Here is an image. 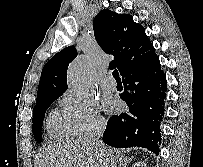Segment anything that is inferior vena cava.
Segmentation results:
<instances>
[{"label": "inferior vena cava", "instance_id": "602c4592", "mask_svg": "<svg viewBox=\"0 0 203 167\" xmlns=\"http://www.w3.org/2000/svg\"><path fill=\"white\" fill-rule=\"evenodd\" d=\"M105 128L106 122L104 120H98L84 136V140H86L95 150H98L101 157L103 156V151L100 137L103 135Z\"/></svg>", "mask_w": 203, "mask_h": 167}]
</instances>
